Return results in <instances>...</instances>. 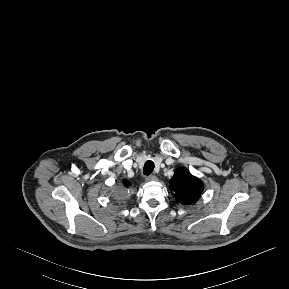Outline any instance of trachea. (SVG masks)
Segmentation results:
<instances>
[{
    "instance_id": "obj_1",
    "label": "trachea",
    "mask_w": 289,
    "mask_h": 289,
    "mask_svg": "<svg viewBox=\"0 0 289 289\" xmlns=\"http://www.w3.org/2000/svg\"><path fill=\"white\" fill-rule=\"evenodd\" d=\"M154 170V163L151 160H148L144 164L143 174L150 175Z\"/></svg>"
}]
</instances>
